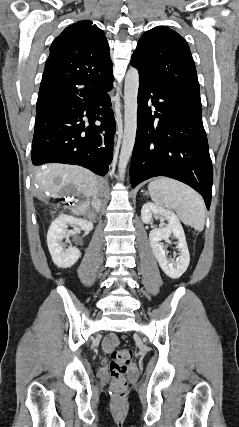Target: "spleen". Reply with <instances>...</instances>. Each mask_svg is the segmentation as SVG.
<instances>
[{"label": "spleen", "mask_w": 239, "mask_h": 427, "mask_svg": "<svg viewBox=\"0 0 239 427\" xmlns=\"http://www.w3.org/2000/svg\"><path fill=\"white\" fill-rule=\"evenodd\" d=\"M148 190L155 205L173 209L179 219L195 230L202 231L205 224V205L202 197L189 186L170 178H157Z\"/></svg>", "instance_id": "3e777b00"}]
</instances>
